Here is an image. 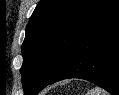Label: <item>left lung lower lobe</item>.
Instances as JSON below:
<instances>
[{
    "label": "left lung lower lobe",
    "mask_w": 119,
    "mask_h": 95,
    "mask_svg": "<svg viewBox=\"0 0 119 95\" xmlns=\"http://www.w3.org/2000/svg\"><path fill=\"white\" fill-rule=\"evenodd\" d=\"M81 78L119 95V2L77 42L60 71L45 85Z\"/></svg>",
    "instance_id": "0a47b994"
}]
</instances>
